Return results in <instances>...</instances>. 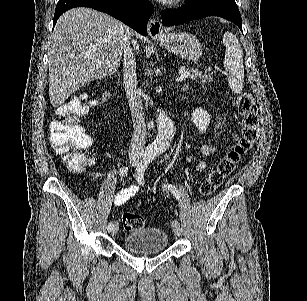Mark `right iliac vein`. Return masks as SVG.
Masks as SVG:
<instances>
[{
  "instance_id": "right-iliac-vein-1",
  "label": "right iliac vein",
  "mask_w": 307,
  "mask_h": 301,
  "mask_svg": "<svg viewBox=\"0 0 307 301\" xmlns=\"http://www.w3.org/2000/svg\"><path fill=\"white\" fill-rule=\"evenodd\" d=\"M130 162L132 164V166H136L138 164V159L136 156H130ZM119 231V225L118 223L116 222L113 226V229H112V234L113 235H116Z\"/></svg>"
}]
</instances>
